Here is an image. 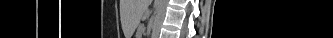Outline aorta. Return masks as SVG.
<instances>
[{"mask_svg": "<svg viewBox=\"0 0 333 38\" xmlns=\"http://www.w3.org/2000/svg\"><path fill=\"white\" fill-rule=\"evenodd\" d=\"M167 6L168 0H155V15L153 20L151 38H158L160 29L166 16Z\"/></svg>", "mask_w": 333, "mask_h": 38, "instance_id": "obj_1", "label": "aorta"}]
</instances>
